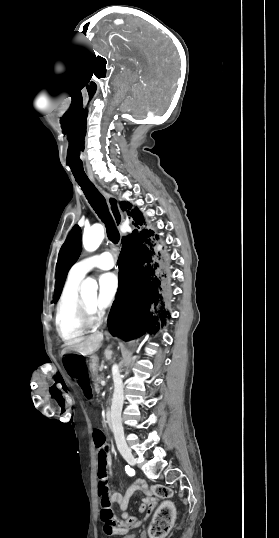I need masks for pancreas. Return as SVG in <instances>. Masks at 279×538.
I'll list each match as a JSON object with an SVG mask.
<instances>
[{
  "label": "pancreas",
  "instance_id": "obj_1",
  "mask_svg": "<svg viewBox=\"0 0 279 538\" xmlns=\"http://www.w3.org/2000/svg\"><path fill=\"white\" fill-rule=\"evenodd\" d=\"M91 360H92V356H91ZM96 360H98V358H96ZM102 380H103V376H97V378H95V380H94L95 392H99V390H100L99 384H100V382H102Z\"/></svg>",
  "mask_w": 279,
  "mask_h": 538
}]
</instances>
